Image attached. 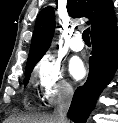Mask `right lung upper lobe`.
Masks as SVG:
<instances>
[{"instance_id": "obj_1", "label": "right lung upper lobe", "mask_w": 118, "mask_h": 123, "mask_svg": "<svg viewBox=\"0 0 118 123\" xmlns=\"http://www.w3.org/2000/svg\"><path fill=\"white\" fill-rule=\"evenodd\" d=\"M68 12L72 17L89 18L91 39L98 37L116 25V17L111 0H67ZM55 29V15L51 6L38 15L32 36L26 70L34 67L50 46Z\"/></svg>"}]
</instances>
